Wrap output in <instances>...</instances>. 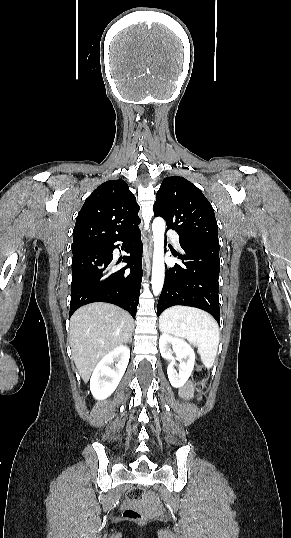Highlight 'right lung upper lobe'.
Listing matches in <instances>:
<instances>
[{
    "label": "right lung upper lobe",
    "instance_id": "cb5924a9",
    "mask_svg": "<svg viewBox=\"0 0 291 538\" xmlns=\"http://www.w3.org/2000/svg\"><path fill=\"white\" fill-rule=\"evenodd\" d=\"M136 198L122 180H109L97 187L78 213L72 250L106 245L136 228L141 222Z\"/></svg>",
    "mask_w": 291,
    "mask_h": 538
}]
</instances>
